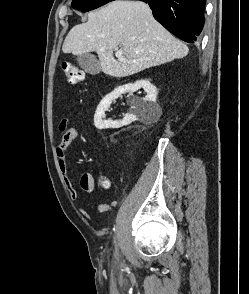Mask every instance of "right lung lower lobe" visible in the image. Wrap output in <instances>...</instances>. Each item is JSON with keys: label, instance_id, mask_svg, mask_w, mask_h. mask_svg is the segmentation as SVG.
I'll list each match as a JSON object with an SVG mask.
<instances>
[{"label": "right lung lower lobe", "instance_id": "right-lung-lower-lobe-1", "mask_svg": "<svg viewBox=\"0 0 249 294\" xmlns=\"http://www.w3.org/2000/svg\"><path fill=\"white\" fill-rule=\"evenodd\" d=\"M148 3L154 18L185 42L198 40L204 26L206 0H141Z\"/></svg>", "mask_w": 249, "mask_h": 294}]
</instances>
